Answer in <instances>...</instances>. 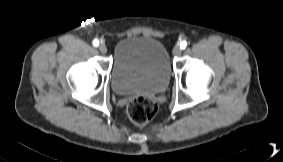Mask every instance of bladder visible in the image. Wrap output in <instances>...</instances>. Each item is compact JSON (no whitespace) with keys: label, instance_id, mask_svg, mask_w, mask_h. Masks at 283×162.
<instances>
[{"label":"bladder","instance_id":"31cf9c89","mask_svg":"<svg viewBox=\"0 0 283 162\" xmlns=\"http://www.w3.org/2000/svg\"><path fill=\"white\" fill-rule=\"evenodd\" d=\"M110 76L112 89L118 95L163 92L171 76L168 51L153 37L120 39L114 47Z\"/></svg>","mask_w":283,"mask_h":162}]
</instances>
